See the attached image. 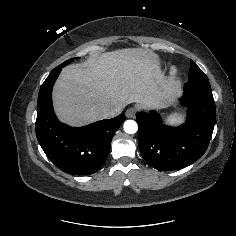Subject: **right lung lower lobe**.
<instances>
[{
  "instance_id": "obj_1",
  "label": "right lung lower lobe",
  "mask_w": 236,
  "mask_h": 236,
  "mask_svg": "<svg viewBox=\"0 0 236 236\" xmlns=\"http://www.w3.org/2000/svg\"><path fill=\"white\" fill-rule=\"evenodd\" d=\"M62 68H54L40 88L36 136L43 151L57 168L72 175H90L105 163L112 137L125 115L80 128L61 123L53 110L52 89Z\"/></svg>"
}]
</instances>
